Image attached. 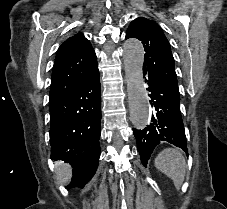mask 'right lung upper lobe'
<instances>
[{"label":"right lung upper lobe","instance_id":"cb5924a9","mask_svg":"<svg viewBox=\"0 0 227 209\" xmlns=\"http://www.w3.org/2000/svg\"><path fill=\"white\" fill-rule=\"evenodd\" d=\"M97 65L95 52L82 34L68 38L58 49L52 71L49 101H54L79 85L87 72L72 74L71 68L83 66L88 69Z\"/></svg>","mask_w":227,"mask_h":209}]
</instances>
